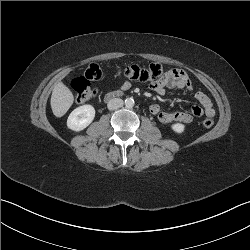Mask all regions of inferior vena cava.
<instances>
[{"label": "inferior vena cava", "mask_w": 250, "mask_h": 250, "mask_svg": "<svg viewBox=\"0 0 250 250\" xmlns=\"http://www.w3.org/2000/svg\"><path fill=\"white\" fill-rule=\"evenodd\" d=\"M123 104H124V102L122 99L114 98L108 102L107 107L109 110H116V109H119L120 107H122Z\"/></svg>", "instance_id": "obj_1"}]
</instances>
